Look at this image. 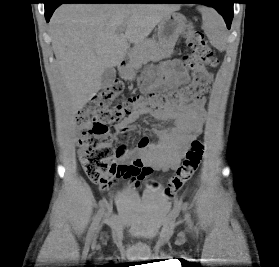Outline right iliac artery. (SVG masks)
Segmentation results:
<instances>
[{"mask_svg":"<svg viewBox=\"0 0 279 267\" xmlns=\"http://www.w3.org/2000/svg\"><path fill=\"white\" fill-rule=\"evenodd\" d=\"M102 214H103V210L101 209V210L97 213V215L95 216V218H94V220H93V222H92V225H91V227H90V229H89V231H88V235H87V239H88V240L91 239V237L93 236L95 230L97 229V226H98V224H99V222H100V220H101Z\"/></svg>","mask_w":279,"mask_h":267,"instance_id":"obj_1","label":"right iliac artery"}]
</instances>
